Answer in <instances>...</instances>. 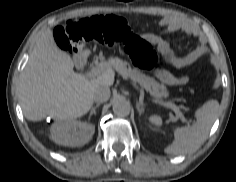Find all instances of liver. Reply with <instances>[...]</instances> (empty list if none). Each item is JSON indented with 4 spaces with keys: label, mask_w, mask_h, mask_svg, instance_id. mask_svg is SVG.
I'll use <instances>...</instances> for the list:
<instances>
[{
    "label": "liver",
    "mask_w": 236,
    "mask_h": 182,
    "mask_svg": "<svg viewBox=\"0 0 236 182\" xmlns=\"http://www.w3.org/2000/svg\"><path fill=\"white\" fill-rule=\"evenodd\" d=\"M73 67L69 54L57 46L53 31L45 30L20 77L19 102L26 119L81 117L92 107L96 87H109L114 83L115 73L111 68L88 80L74 72Z\"/></svg>",
    "instance_id": "6515ba94"
}]
</instances>
